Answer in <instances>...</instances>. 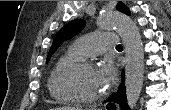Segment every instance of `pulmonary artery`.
Returning a JSON list of instances; mask_svg holds the SVG:
<instances>
[{
    "instance_id": "1",
    "label": "pulmonary artery",
    "mask_w": 171,
    "mask_h": 110,
    "mask_svg": "<svg viewBox=\"0 0 171 110\" xmlns=\"http://www.w3.org/2000/svg\"><path fill=\"white\" fill-rule=\"evenodd\" d=\"M116 43L115 33H93L75 40L71 48L83 58L103 53Z\"/></svg>"
}]
</instances>
